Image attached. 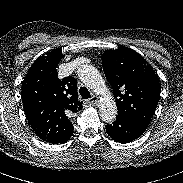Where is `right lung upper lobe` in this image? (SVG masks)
Here are the masks:
<instances>
[{"mask_svg": "<svg viewBox=\"0 0 183 183\" xmlns=\"http://www.w3.org/2000/svg\"><path fill=\"white\" fill-rule=\"evenodd\" d=\"M64 57L61 49L40 56L22 81V102L33 131L42 140L58 144L73 134L71 118L83 107L77 96V80L59 79L56 66Z\"/></svg>", "mask_w": 183, "mask_h": 183, "instance_id": "cb5924a9", "label": "right lung upper lobe"}]
</instances>
